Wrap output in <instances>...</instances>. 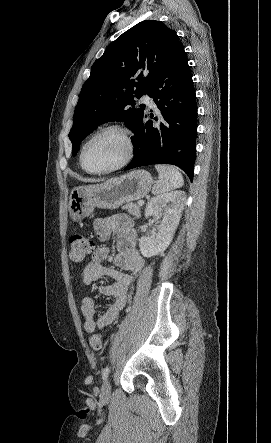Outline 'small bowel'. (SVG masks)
<instances>
[{
  "label": "small bowel",
  "mask_w": 271,
  "mask_h": 443,
  "mask_svg": "<svg viewBox=\"0 0 271 443\" xmlns=\"http://www.w3.org/2000/svg\"><path fill=\"white\" fill-rule=\"evenodd\" d=\"M94 228L101 241H107L111 237L116 238L117 254L114 263L119 269L103 265L110 253L106 246L98 247L84 268L83 282L87 285L102 278L112 280L111 284H103L97 288L103 296L111 298V303L106 306L98 319H94L96 312L94 300L90 297L81 300L80 310L85 319L84 329L88 333L97 328L103 329L116 320L126 304L132 274L140 271L143 266V258L136 249V231L129 216L116 215L98 219Z\"/></svg>",
  "instance_id": "obj_1"
}]
</instances>
